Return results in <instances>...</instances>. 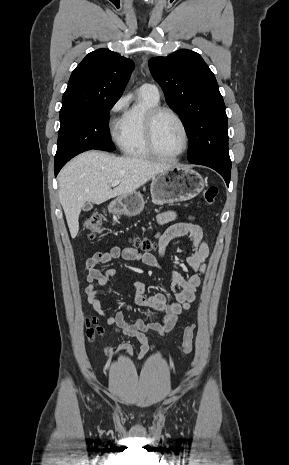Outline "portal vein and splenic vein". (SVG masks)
Masks as SVG:
<instances>
[{
	"mask_svg": "<svg viewBox=\"0 0 289 465\" xmlns=\"http://www.w3.org/2000/svg\"><path fill=\"white\" fill-rule=\"evenodd\" d=\"M119 183H120V181H119V180H116V181H114V182L111 184V186H112V187L117 186V185H119Z\"/></svg>",
	"mask_w": 289,
	"mask_h": 465,
	"instance_id": "portal-vein-and-splenic-vein-1",
	"label": "portal vein and splenic vein"
}]
</instances>
